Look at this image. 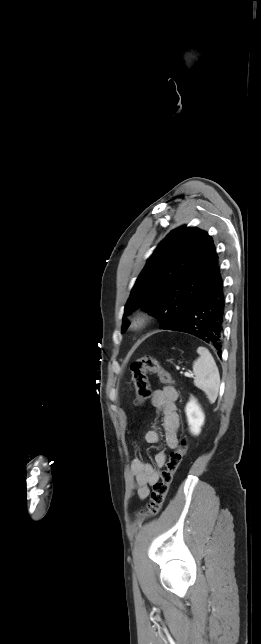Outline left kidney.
<instances>
[{"label": "left kidney", "mask_w": 261, "mask_h": 644, "mask_svg": "<svg viewBox=\"0 0 261 644\" xmlns=\"http://www.w3.org/2000/svg\"><path fill=\"white\" fill-rule=\"evenodd\" d=\"M185 412L191 433L198 435L201 432L202 425L204 424L205 415L194 397H191L190 401L187 403Z\"/></svg>", "instance_id": "1"}]
</instances>
